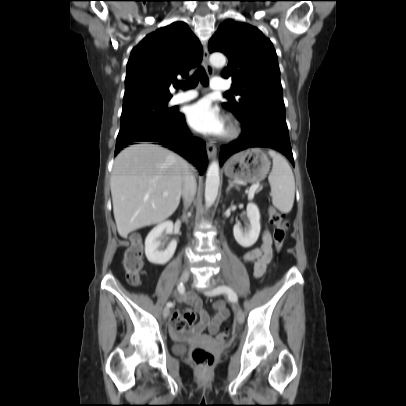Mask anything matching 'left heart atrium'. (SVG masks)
Returning a JSON list of instances; mask_svg holds the SVG:
<instances>
[{"label":"left heart atrium","mask_w":406,"mask_h":406,"mask_svg":"<svg viewBox=\"0 0 406 406\" xmlns=\"http://www.w3.org/2000/svg\"><path fill=\"white\" fill-rule=\"evenodd\" d=\"M187 121L197 132L204 135H221L225 130L224 119L219 111L206 100H200L187 108Z\"/></svg>","instance_id":"39dd6f15"}]
</instances>
